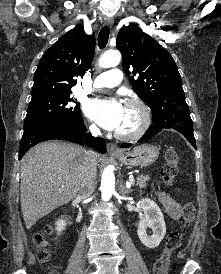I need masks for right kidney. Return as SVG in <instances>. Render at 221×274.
Returning <instances> with one entry per match:
<instances>
[{"label": "right kidney", "instance_id": "ca27d5eb", "mask_svg": "<svg viewBox=\"0 0 221 274\" xmlns=\"http://www.w3.org/2000/svg\"><path fill=\"white\" fill-rule=\"evenodd\" d=\"M56 230L58 232V235L63 231L65 230V227H66V220H63V219H59L57 222H56Z\"/></svg>", "mask_w": 221, "mask_h": 274}]
</instances>
